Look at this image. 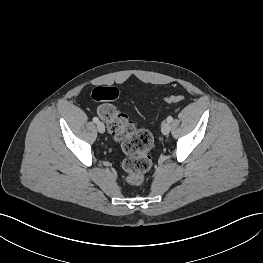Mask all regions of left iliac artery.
<instances>
[{
    "label": "left iliac artery",
    "mask_w": 263,
    "mask_h": 263,
    "mask_svg": "<svg viewBox=\"0 0 263 263\" xmlns=\"http://www.w3.org/2000/svg\"><path fill=\"white\" fill-rule=\"evenodd\" d=\"M173 120V117L172 116H168L167 117V121L170 123L171 121Z\"/></svg>",
    "instance_id": "left-iliac-artery-1"
}]
</instances>
